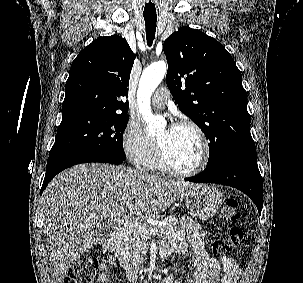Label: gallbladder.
<instances>
[{"mask_svg": "<svg viewBox=\"0 0 303 283\" xmlns=\"http://www.w3.org/2000/svg\"><path fill=\"white\" fill-rule=\"evenodd\" d=\"M95 232H96V235H97V238H98L97 242L102 241V239L104 238V234H105L103 228L97 227L95 229Z\"/></svg>", "mask_w": 303, "mask_h": 283, "instance_id": "bac80fb5", "label": "gallbladder"}]
</instances>
